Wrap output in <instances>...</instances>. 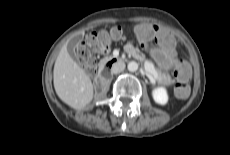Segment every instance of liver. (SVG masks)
Listing matches in <instances>:
<instances>
[{
	"mask_svg": "<svg viewBox=\"0 0 230 155\" xmlns=\"http://www.w3.org/2000/svg\"><path fill=\"white\" fill-rule=\"evenodd\" d=\"M67 44L62 46L54 64V88L64 103L81 110L93 99V85L90 77L69 55Z\"/></svg>",
	"mask_w": 230,
	"mask_h": 155,
	"instance_id": "obj_1",
	"label": "liver"
}]
</instances>
